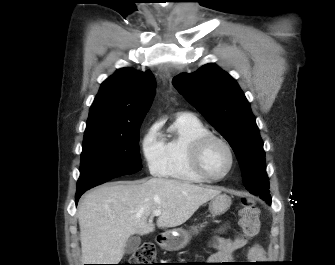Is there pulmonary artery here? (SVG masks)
<instances>
[{"instance_id": "pulmonary-artery-1", "label": "pulmonary artery", "mask_w": 335, "mask_h": 265, "mask_svg": "<svg viewBox=\"0 0 335 265\" xmlns=\"http://www.w3.org/2000/svg\"><path fill=\"white\" fill-rule=\"evenodd\" d=\"M183 114H188V115H191V114H189V113H183Z\"/></svg>"}]
</instances>
